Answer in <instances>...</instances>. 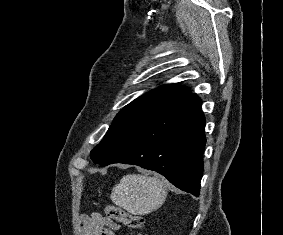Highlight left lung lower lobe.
I'll return each instance as SVG.
<instances>
[{"label":"left lung lower lobe","mask_w":283,"mask_h":235,"mask_svg":"<svg viewBox=\"0 0 283 235\" xmlns=\"http://www.w3.org/2000/svg\"><path fill=\"white\" fill-rule=\"evenodd\" d=\"M204 127L201 100L191 94L145 124L101 165H139L164 175L176 187L198 196L206 143Z\"/></svg>","instance_id":"left-lung-lower-lobe-1"}]
</instances>
